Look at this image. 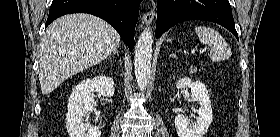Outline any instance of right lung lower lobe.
Returning a JSON list of instances; mask_svg holds the SVG:
<instances>
[{
    "label": "right lung lower lobe",
    "instance_id": "98d812e1",
    "mask_svg": "<svg viewBox=\"0 0 280 137\" xmlns=\"http://www.w3.org/2000/svg\"><path fill=\"white\" fill-rule=\"evenodd\" d=\"M142 0H53L46 26L68 13L96 15L111 24L130 50Z\"/></svg>",
    "mask_w": 280,
    "mask_h": 137
}]
</instances>
